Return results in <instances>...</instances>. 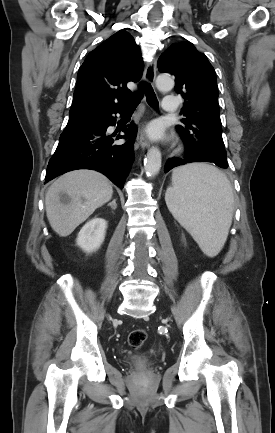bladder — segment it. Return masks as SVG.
<instances>
[{
    "instance_id": "31cf9c89",
    "label": "bladder",
    "mask_w": 275,
    "mask_h": 433,
    "mask_svg": "<svg viewBox=\"0 0 275 433\" xmlns=\"http://www.w3.org/2000/svg\"><path fill=\"white\" fill-rule=\"evenodd\" d=\"M147 358L146 357H139L137 360H136V364H139V365H146L147 364Z\"/></svg>"
}]
</instances>
